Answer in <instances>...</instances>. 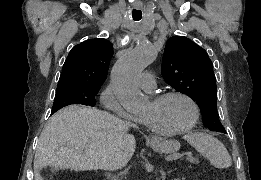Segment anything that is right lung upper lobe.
<instances>
[{"instance_id": "cb5924a9", "label": "right lung upper lobe", "mask_w": 261, "mask_h": 180, "mask_svg": "<svg viewBox=\"0 0 261 180\" xmlns=\"http://www.w3.org/2000/svg\"><path fill=\"white\" fill-rule=\"evenodd\" d=\"M112 55V44L103 38L87 40L74 46L65 60L57 87H101L107 77Z\"/></svg>"}]
</instances>
